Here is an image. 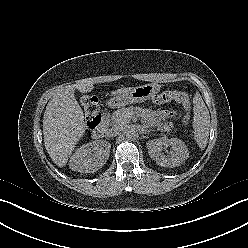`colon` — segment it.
I'll use <instances>...</instances> for the list:
<instances>
[{"label": "colon", "instance_id": "colon-1", "mask_svg": "<svg viewBox=\"0 0 248 248\" xmlns=\"http://www.w3.org/2000/svg\"><path fill=\"white\" fill-rule=\"evenodd\" d=\"M171 100L182 104L187 111L191 108L189 95L182 91H165L153 98V101L157 104ZM81 102L85 112L86 124L90 129H93L101 118L98 98L92 95H85L82 97Z\"/></svg>", "mask_w": 248, "mask_h": 248}]
</instances>
